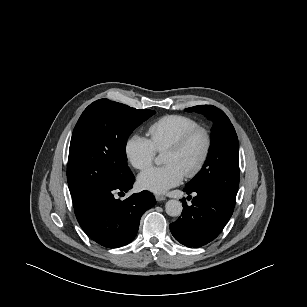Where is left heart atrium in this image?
Listing matches in <instances>:
<instances>
[{"label": "left heart atrium", "instance_id": "left-heart-atrium-1", "mask_svg": "<svg viewBox=\"0 0 307 307\" xmlns=\"http://www.w3.org/2000/svg\"><path fill=\"white\" fill-rule=\"evenodd\" d=\"M184 177L183 171L175 164L151 167L138 176V184L144 189L157 194L166 192L178 185Z\"/></svg>", "mask_w": 307, "mask_h": 307}]
</instances>
